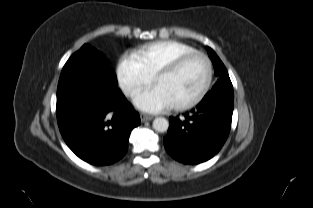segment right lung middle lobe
Wrapping results in <instances>:
<instances>
[{
  "label": "right lung middle lobe",
  "mask_w": 313,
  "mask_h": 208,
  "mask_svg": "<svg viewBox=\"0 0 313 208\" xmlns=\"http://www.w3.org/2000/svg\"><path fill=\"white\" fill-rule=\"evenodd\" d=\"M80 52L91 53V54H94V55H96V56L99 57L98 52H97L94 48H92L91 46L85 44V45L82 46V48H81L78 52L74 53V54L69 58L68 62L73 61L74 58H76Z\"/></svg>",
  "instance_id": "right-lung-middle-lobe-1"
}]
</instances>
